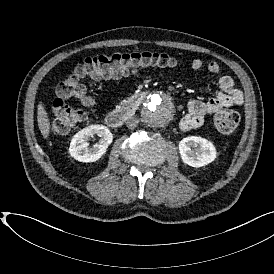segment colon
Returning a JSON list of instances; mask_svg holds the SVG:
<instances>
[{
    "label": "colon",
    "mask_w": 274,
    "mask_h": 274,
    "mask_svg": "<svg viewBox=\"0 0 274 274\" xmlns=\"http://www.w3.org/2000/svg\"><path fill=\"white\" fill-rule=\"evenodd\" d=\"M177 60L163 53L119 52L107 55H93L69 70L56 85V96L52 101L53 120L51 129L55 134H66L82 118V111L67 103L74 97L83 105L93 107L87 93L86 81L115 79L134 73L145 67H173ZM240 123L236 111L223 109L216 113L215 126L219 133H233Z\"/></svg>",
    "instance_id": "colon-1"
}]
</instances>
